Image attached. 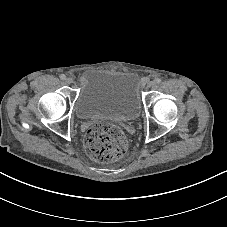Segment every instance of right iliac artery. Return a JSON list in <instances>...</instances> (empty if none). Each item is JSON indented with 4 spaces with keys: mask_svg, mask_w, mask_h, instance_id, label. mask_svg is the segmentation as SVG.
<instances>
[{
    "mask_svg": "<svg viewBox=\"0 0 227 227\" xmlns=\"http://www.w3.org/2000/svg\"><path fill=\"white\" fill-rule=\"evenodd\" d=\"M59 77L61 80H65V78H66V76L64 74H61Z\"/></svg>",
    "mask_w": 227,
    "mask_h": 227,
    "instance_id": "obj_1",
    "label": "right iliac artery"
}]
</instances>
